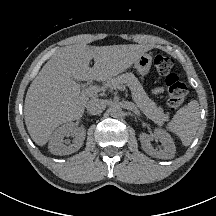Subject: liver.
<instances>
[{"instance_id": "1", "label": "liver", "mask_w": 216, "mask_h": 216, "mask_svg": "<svg viewBox=\"0 0 216 216\" xmlns=\"http://www.w3.org/2000/svg\"><path fill=\"white\" fill-rule=\"evenodd\" d=\"M148 50L149 47L138 44H76L58 50L42 67L26 94L25 124L32 140L44 146L59 125L83 116L89 97L96 98L95 94L83 93L74 79L106 81L124 72Z\"/></svg>"}]
</instances>
